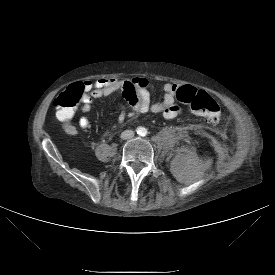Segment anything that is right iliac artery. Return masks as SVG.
Masks as SVG:
<instances>
[{
  "mask_svg": "<svg viewBox=\"0 0 275 275\" xmlns=\"http://www.w3.org/2000/svg\"><path fill=\"white\" fill-rule=\"evenodd\" d=\"M138 131L141 132V128H138ZM138 131H137V132H138Z\"/></svg>",
  "mask_w": 275,
  "mask_h": 275,
  "instance_id": "1",
  "label": "right iliac artery"
}]
</instances>
